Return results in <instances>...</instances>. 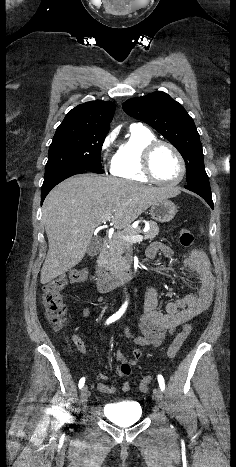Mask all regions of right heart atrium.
Instances as JSON below:
<instances>
[{"mask_svg":"<svg viewBox=\"0 0 236 467\" xmlns=\"http://www.w3.org/2000/svg\"><path fill=\"white\" fill-rule=\"evenodd\" d=\"M114 138H115L114 134H109L103 140V142L101 144V151H102V155H103L104 158H107L108 155L110 154L111 149H112V144L114 142ZM110 161H111V164H112L113 158Z\"/></svg>","mask_w":236,"mask_h":467,"instance_id":"1","label":"right heart atrium"}]
</instances>
